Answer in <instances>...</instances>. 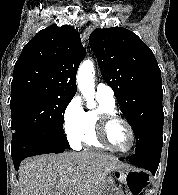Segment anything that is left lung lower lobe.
Returning a JSON list of instances; mask_svg holds the SVG:
<instances>
[{
    "instance_id": "left-lung-lower-lobe-1",
    "label": "left lung lower lobe",
    "mask_w": 178,
    "mask_h": 195,
    "mask_svg": "<svg viewBox=\"0 0 178 195\" xmlns=\"http://www.w3.org/2000/svg\"><path fill=\"white\" fill-rule=\"evenodd\" d=\"M162 144L154 145L142 150L136 151L129 160L155 175L161 156Z\"/></svg>"
}]
</instances>
